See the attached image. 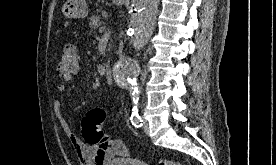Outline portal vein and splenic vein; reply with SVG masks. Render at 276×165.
<instances>
[{
	"mask_svg": "<svg viewBox=\"0 0 276 165\" xmlns=\"http://www.w3.org/2000/svg\"><path fill=\"white\" fill-rule=\"evenodd\" d=\"M99 32L100 33L106 32V27L105 26L100 27Z\"/></svg>",
	"mask_w": 276,
	"mask_h": 165,
	"instance_id": "obj_1",
	"label": "portal vein and splenic vein"
}]
</instances>
